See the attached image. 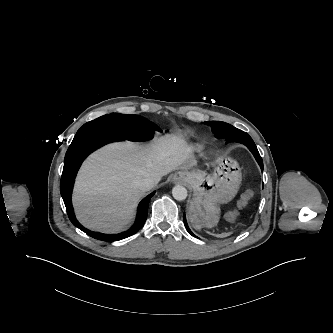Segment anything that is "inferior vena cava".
<instances>
[{
	"label": "inferior vena cava",
	"instance_id": "inferior-vena-cava-1",
	"mask_svg": "<svg viewBox=\"0 0 333 333\" xmlns=\"http://www.w3.org/2000/svg\"><path fill=\"white\" fill-rule=\"evenodd\" d=\"M153 186H154V181L150 178H144L138 182V187L142 191H149L150 189L153 188Z\"/></svg>",
	"mask_w": 333,
	"mask_h": 333
}]
</instances>
